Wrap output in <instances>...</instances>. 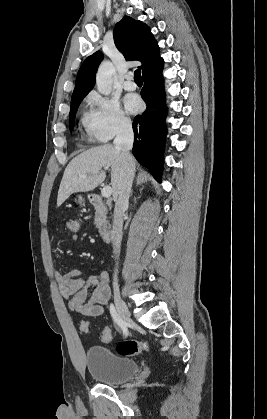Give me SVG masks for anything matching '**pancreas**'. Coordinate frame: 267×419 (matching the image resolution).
Segmentation results:
<instances>
[{
    "label": "pancreas",
    "instance_id": "obj_1",
    "mask_svg": "<svg viewBox=\"0 0 267 419\" xmlns=\"http://www.w3.org/2000/svg\"><path fill=\"white\" fill-rule=\"evenodd\" d=\"M106 223V212L102 209H96L94 224L97 228H101Z\"/></svg>",
    "mask_w": 267,
    "mask_h": 419
}]
</instances>
